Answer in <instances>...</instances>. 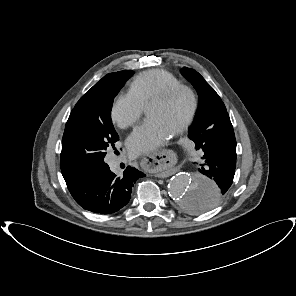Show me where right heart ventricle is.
<instances>
[{
	"instance_id": "e07e8e85",
	"label": "right heart ventricle",
	"mask_w": 296,
	"mask_h": 296,
	"mask_svg": "<svg viewBox=\"0 0 296 296\" xmlns=\"http://www.w3.org/2000/svg\"><path fill=\"white\" fill-rule=\"evenodd\" d=\"M181 84L173 74L160 69L149 70L138 75L129 86V94L133 96L141 106L167 89Z\"/></svg>"
}]
</instances>
